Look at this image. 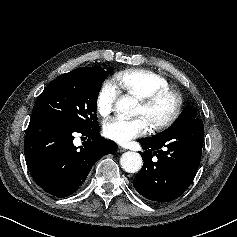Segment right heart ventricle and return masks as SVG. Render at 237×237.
Instances as JSON below:
<instances>
[{"label": "right heart ventricle", "instance_id": "right-heart-ventricle-1", "mask_svg": "<svg viewBox=\"0 0 237 237\" xmlns=\"http://www.w3.org/2000/svg\"><path fill=\"white\" fill-rule=\"evenodd\" d=\"M114 82L120 90L138 99L157 90L170 89L165 77L144 69L121 71L115 74Z\"/></svg>", "mask_w": 237, "mask_h": 237}]
</instances>
